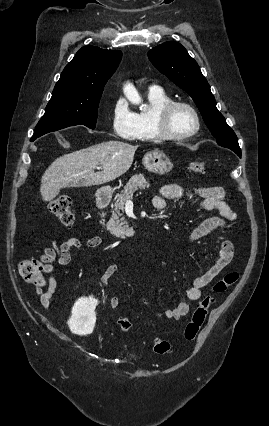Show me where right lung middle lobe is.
I'll list each match as a JSON object with an SVG mask.
<instances>
[{"label": "right lung middle lobe", "mask_w": 269, "mask_h": 426, "mask_svg": "<svg viewBox=\"0 0 269 426\" xmlns=\"http://www.w3.org/2000/svg\"><path fill=\"white\" fill-rule=\"evenodd\" d=\"M100 98L101 95L89 98H71L62 93L52 94L45 114L38 122L31 141L46 133L74 125H84L94 129Z\"/></svg>", "instance_id": "obj_1"}]
</instances>
